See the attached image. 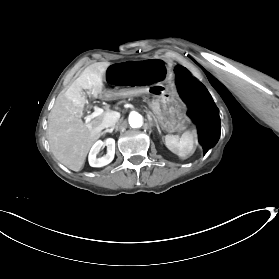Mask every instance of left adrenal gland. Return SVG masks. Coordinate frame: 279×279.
Returning a JSON list of instances; mask_svg holds the SVG:
<instances>
[{
	"instance_id": "left-adrenal-gland-1",
	"label": "left adrenal gland",
	"mask_w": 279,
	"mask_h": 279,
	"mask_svg": "<svg viewBox=\"0 0 279 279\" xmlns=\"http://www.w3.org/2000/svg\"><path fill=\"white\" fill-rule=\"evenodd\" d=\"M148 118H149V120H151V121L153 122V126L157 128V130H158L159 134H161V132H160V128H159V126H158L156 123L154 124V121H153L152 116H150V117H148Z\"/></svg>"
}]
</instances>
